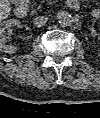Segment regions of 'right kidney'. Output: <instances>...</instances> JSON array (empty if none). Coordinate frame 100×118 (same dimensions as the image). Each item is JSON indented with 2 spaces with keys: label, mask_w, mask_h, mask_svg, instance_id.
Returning a JSON list of instances; mask_svg holds the SVG:
<instances>
[{
  "label": "right kidney",
  "mask_w": 100,
  "mask_h": 118,
  "mask_svg": "<svg viewBox=\"0 0 100 118\" xmlns=\"http://www.w3.org/2000/svg\"><path fill=\"white\" fill-rule=\"evenodd\" d=\"M20 23L16 19L5 20L0 23V51L13 54L17 51V47L14 45H6L8 40V29L11 27L19 26Z\"/></svg>",
  "instance_id": "right-kidney-1"
}]
</instances>
